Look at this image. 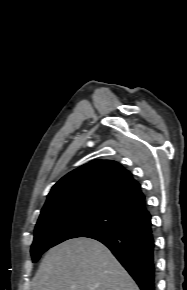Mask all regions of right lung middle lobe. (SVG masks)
<instances>
[{"label": "right lung middle lobe", "instance_id": "1", "mask_svg": "<svg viewBox=\"0 0 187 290\" xmlns=\"http://www.w3.org/2000/svg\"><path fill=\"white\" fill-rule=\"evenodd\" d=\"M129 221L117 212L101 206H80L39 217L31 248L33 262L49 248L72 238L121 227Z\"/></svg>", "mask_w": 187, "mask_h": 290}]
</instances>
